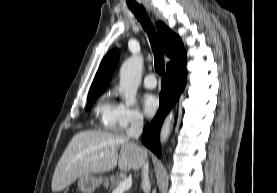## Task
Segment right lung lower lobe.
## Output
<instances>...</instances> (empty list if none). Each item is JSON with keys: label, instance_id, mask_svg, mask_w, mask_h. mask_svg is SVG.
I'll list each match as a JSON object with an SVG mask.
<instances>
[{"label": "right lung lower lobe", "instance_id": "98d812e1", "mask_svg": "<svg viewBox=\"0 0 277 193\" xmlns=\"http://www.w3.org/2000/svg\"><path fill=\"white\" fill-rule=\"evenodd\" d=\"M186 54L167 66L162 79V89L159 95V111L151 125L144 128L142 142L158 157L161 156L159 144L160 128L167 113L182 93L187 79Z\"/></svg>", "mask_w": 277, "mask_h": 193}]
</instances>
